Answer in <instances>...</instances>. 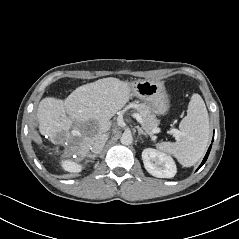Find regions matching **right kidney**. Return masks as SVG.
Returning <instances> with one entry per match:
<instances>
[{
    "mask_svg": "<svg viewBox=\"0 0 239 239\" xmlns=\"http://www.w3.org/2000/svg\"><path fill=\"white\" fill-rule=\"evenodd\" d=\"M62 167L68 172H80L82 170V165L77 164L76 162L65 160L62 162Z\"/></svg>",
    "mask_w": 239,
    "mask_h": 239,
    "instance_id": "1",
    "label": "right kidney"
}]
</instances>
